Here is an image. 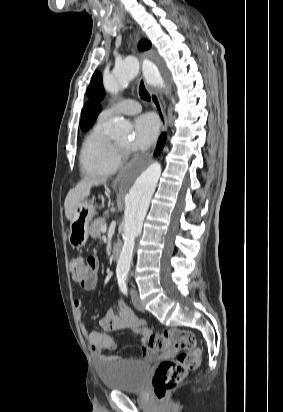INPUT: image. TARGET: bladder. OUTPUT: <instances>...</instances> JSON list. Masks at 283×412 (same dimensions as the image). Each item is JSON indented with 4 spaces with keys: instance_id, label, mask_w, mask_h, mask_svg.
<instances>
[{
    "instance_id": "1",
    "label": "bladder",
    "mask_w": 283,
    "mask_h": 412,
    "mask_svg": "<svg viewBox=\"0 0 283 412\" xmlns=\"http://www.w3.org/2000/svg\"><path fill=\"white\" fill-rule=\"evenodd\" d=\"M149 365L127 360L113 361L100 371L103 385L111 390L139 392L144 389Z\"/></svg>"
}]
</instances>
